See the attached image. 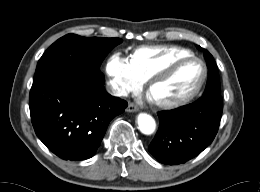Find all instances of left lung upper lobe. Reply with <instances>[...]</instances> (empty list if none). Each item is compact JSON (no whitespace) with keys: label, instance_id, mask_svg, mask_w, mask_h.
<instances>
[{"label":"left lung upper lobe","instance_id":"obj_1","mask_svg":"<svg viewBox=\"0 0 260 192\" xmlns=\"http://www.w3.org/2000/svg\"><path fill=\"white\" fill-rule=\"evenodd\" d=\"M199 49L205 52V58L207 60V66L209 69V80L207 84L205 94H220V81H219V73L215 61L212 55L207 51L198 46Z\"/></svg>","mask_w":260,"mask_h":192}]
</instances>
